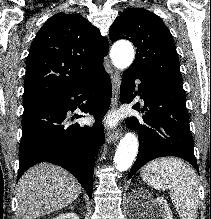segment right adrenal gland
Wrapping results in <instances>:
<instances>
[{
	"instance_id": "2a0ac1e0",
	"label": "right adrenal gland",
	"mask_w": 211,
	"mask_h": 219,
	"mask_svg": "<svg viewBox=\"0 0 211 219\" xmlns=\"http://www.w3.org/2000/svg\"><path fill=\"white\" fill-rule=\"evenodd\" d=\"M69 208H70V209H73V207H72V206H70Z\"/></svg>"
}]
</instances>
